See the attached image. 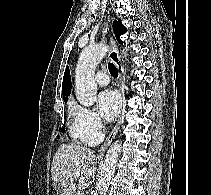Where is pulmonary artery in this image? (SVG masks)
<instances>
[{
  "label": "pulmonary artery",
  "mask_w": 211,
  "mask_h": 195,
  "mask_svg": "<svg viewBox=\"0 0 211 195\" xmlns=\"http://www.w3.org/2000/svg\"><path fill=\"white\" fill-rule=\"evenodd\" d=\"M95 81L100 86H106V85L109 84L110 79H109V76L106 72H98L95 75Z\"/></svg>",
  "instance_id": "obj_1"
}]
</instances>
